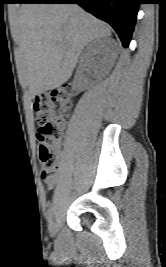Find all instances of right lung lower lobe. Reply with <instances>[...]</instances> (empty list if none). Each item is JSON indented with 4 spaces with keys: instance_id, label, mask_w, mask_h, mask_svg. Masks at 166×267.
Wrapping results in <instances>:
<instances>
[{
    "instance_id": "98d812e1",
    "label": "right lung lower lobe",
    "mask_w": 166,
    "mask_h": 267,
    "mask_svg": "<svg viewBox=\"0 0 166 267\" xmlns=\"http://www.w3.org/2000/svg\"><path fill=\"white\" fill-rule=\"evenodd\" d=\"M20 3H76L97 18L109 23L127 48L141 0H21Z\"/></svg>"
}]
</instances>
